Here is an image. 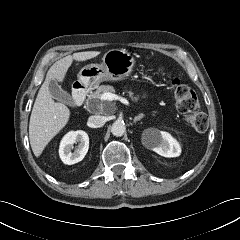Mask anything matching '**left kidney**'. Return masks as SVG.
<instances>
[{
	"label": "left kidney",
	"instance_id": "obj_1",
	"mask_svg": "<svg viewBox=\"0 0 240 240\" xmlns=\"http://www.w3.org/2000/svg\"><path fill=\"white\" fill-rule=\"evenodd\" d=\"M145 146L164 157H177L181 153L179 143L165 131L149 128L143 133Z\"/></svg>",
	"mask_w": 240,
	"mask_h": 240
}]
</instances>
